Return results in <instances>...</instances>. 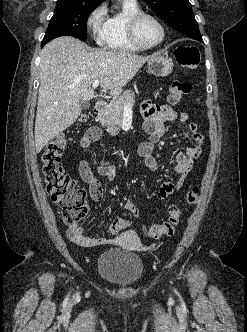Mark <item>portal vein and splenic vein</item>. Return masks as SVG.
<instances>
[{
  "label": "portal vein and splenic vein",
  "mask_w": 247,
  "mask_h": 332,
  "mask_svg": "<svg viewBox=\"0 0 247 332\" xmlns=\"http://www.w3.org/2000/svg\"><path fill=\"white\" fill-rule=\"evenodd\" d=\"M99 86V80H95L93 81L92 83V87L93 88H97ZM132 108L128 105H124V110L128 111V110H131Z\"/></svg>",
  "instance_id": "obj_1"
}]
</instances>
